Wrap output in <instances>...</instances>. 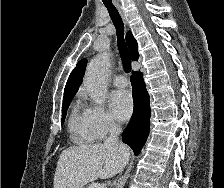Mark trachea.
<instances>
[{
    "instance_id": "1",
    "label": "trachea",
    "mask_w": 224,
    "mask_h": 188,
    "mask_svg": "<svg viewBox=\"0 0 224 188\" xmlns=\"http://www.w3.org/2000/svg\"><path fill=\"white\" fill-rule=\"evenodd\" d=\"M104 5L107 8L112 22L116 28L118 50L123 63L124 70L129 73L131 71V62L128 56V49L124 40V25L121 16L119 15L117 9L112 3L104 2Z\"/></svg>"
}]
</instances>
